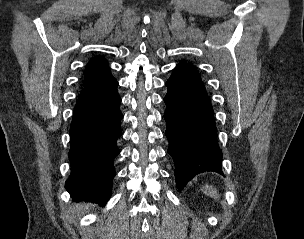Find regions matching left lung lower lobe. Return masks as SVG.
<instances>
[{"label": "left lung lower lobe", "instance_id": "0a47b994", "mask_svg": "<svg viewBox=\"0 0 304 239\" xmlns=\"http://www.w3.org/2000/svg\"><path fill=\"white\" fill-rule=\"evenodd\" d=\"M166 86L165 135L168 154L174 160L176 185L181 190L197 174H222V151L217 143L212 105L197 71L180 63Z\"/></svg>", "mask_w": 304, "mask_h": 239}]
</instances>
